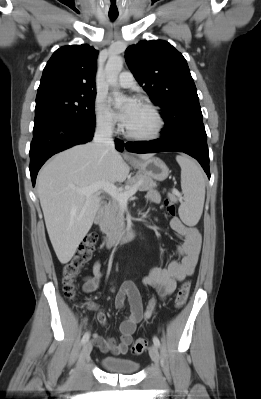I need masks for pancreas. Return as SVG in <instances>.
Listing matches in <instances>:
<instances>
[{
  "instance_id": "cf45deb5",
  "label": "pancreas",
  "mask_w": 261,
  "mask_h": 399,
  "mask_svg": "<svg viewBox=\"0 0 261 399\" xmlns=\"http://www.w3.org/2000/svg\"><path fill=\"white\" fill-rule=\"evenodd\" d=\"M134 185H138L137 189L139 191H148L157 187V183L153 181L152 178L144 174H137L127 180L126 187L123 191H127ZM100 227L102 232L109 238L116 237L124 231V211L121 208L120 202L116 199L112 198L105 207L104 218L100 223Z\"/></svg>"
}]
</instances>
